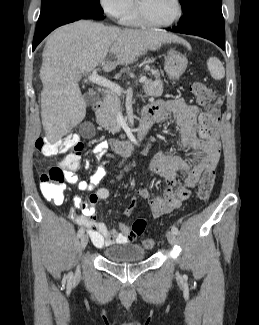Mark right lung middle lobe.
Returning <instances> with one entry per match:
<instances>
[{
  "instance_id": "1",
  "label": "right lung middle lobe",
  "mask_w": 259,
  "mask_h": 325,
  "mask_svg": "<svg viewBox=\"0 0 259 325\" xmlns=\"http://www.w3.org/2000/svg\"><path fill=\"white\" fill-rule=\"evenodd\" d=\"M61 13H74L86 19H103L99 0H41V13L37 27Z\"/></svg>"
}]
</instances>
